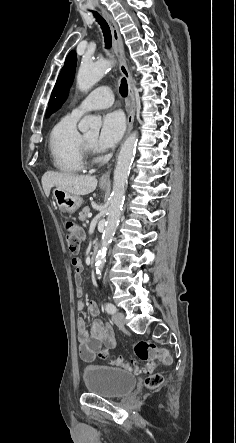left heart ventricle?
<instances>
[{
  "label": "left heart ventricle",
  "instance_id": "b2bd125f",
  "mask_svg": "<svg viewBox=\"0 0 236 443\" xmlns=\"http://www.w3.org/2000/svg\"><path fill=\"white\" fill-rule=\"evenodd\" d=\"M96 136L97 133L93 132V133H89V134H85L84 137L87 141H89L90 143H94L96 140Z\"/></svg>",
  "mask_w": 236,
  "mask_h": 443
}]
</instances>
